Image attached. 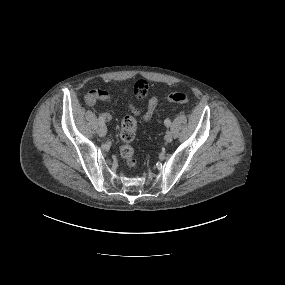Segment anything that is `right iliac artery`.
<instances>
[{
  "instance_id": "82829eb1",
  "label": "right iliac artery",
  "mask_w": 285,
  "mask_h": 285,
  "mask_svg": "<svg viewBox=\"0 0 285 285\" xmlns=\"http://www.w3.org/2000/svg\"><path fill=\"white\" fill-rule=\"evenodd\" d=\"M98 121H99V124H100V125H103L104 122H105L101 117H99Z\"/></svg>"
}]
</instances>
